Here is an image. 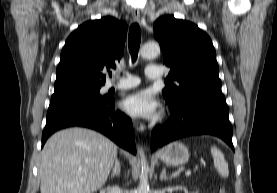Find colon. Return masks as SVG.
I'll return each instance as SVG.
<instances>
[{
	"label": "colon",
	"instance_id": "colon-1",
	"mask_svg": "<svg viewBox=\"0 0 277 193\" xmlns=\"http://www.w3.org/2000/svg\"><path fill=\"white\" fill-rule=\"evenodd\" d=\"M221 193H225V191L224 190H222V192Z\"/></svg>",
	"mask_w": 277,
	"mask_h": 193
}]
</instances>
